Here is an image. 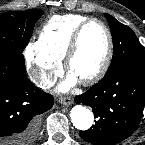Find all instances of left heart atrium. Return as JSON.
<instances>
[{
  "label": "left heart atrium",
  "instance_id": "1",
  "mask_svg": "<svg viewBox=\"0 0 145 145\" xmlns=\"http://www.w3.org/2000/svg\"><path fill=\"white\" fill-rule=\"evenodd\" d=\"M76 82V78L72 75L68 78L66 82L60 85L59 89L62 91L67 90L70 86H72Z\"/></svg>",
  "mask_w": 145,
  "mask_h": 145
}]
</instances>
